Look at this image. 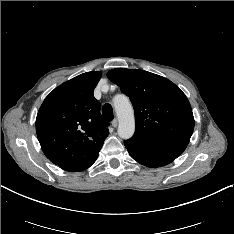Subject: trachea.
Masks as SVG:
<instances>
[{
	"label": "trachea",
	"instance_id": "trachea-1",
	"mask_svg": "<svg viewBox=\"0 0 234 234\" xmlns=\"http://www.w3.org/2000/svg\"><path fill=\"white\" fill-rule=\"evenodd\" d=\"M102 114L109 121H112L114 119L113 109H112V106L110 104L103 105Z\"/></svg>",
	"mask_w": 234,
	"mask_h": 234
}]
</instances>
